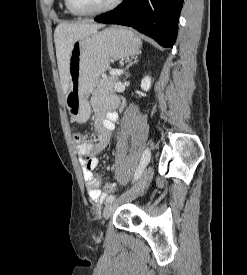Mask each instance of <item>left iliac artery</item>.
<instances>
[{"instance_id":"obj_1","label":"left iliac artery","mask_w":247,"mask_h":275,"mask_svg":"<svg viewBox=\"0 0 247 275\" xmlns=\"http://www.w3.org/2000/svg\"><path fill=\"white\" fill-rule=\"evenodd\" d=\"M150 158H151V152L150 150L146 149L142 155L140 164L138 166V168L135 171L134 174V180H138L140 178V176L142 175V172L144 171L145 167L148 165V163L150 162ZM115 200V196L114 195H110L107 197L106 201L107 202H112Z\"/></svg>"}]
</instances>
